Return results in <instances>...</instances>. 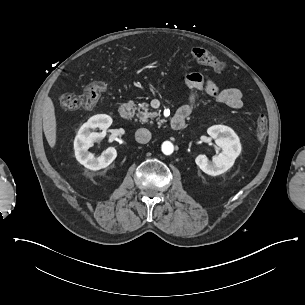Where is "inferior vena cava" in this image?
Instances as JSON below:
<instances>
[{
  "label": "inferior vena cava",
  "instance_id": "inferior-vena-cava-1",
  "mask_svg": "<svg viewBox=\"0 0 305 305\" xmlns=\"http://www.w3.org/2000/svg\"><path fill=\"white\" fill-rule=\"evenodd\" d=\"M151 132L146 128H139L135 132V138L139 143H147L151 139Z\"/></svg>",
  "mask_w": 305,
  "mask_h": 305
}]
</instances>
